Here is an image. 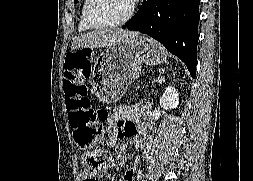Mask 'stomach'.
<instances>
[{
	"mask_svg": "<svg viewBox=\"0 0 253 181\" xmlns=\"http://www.w3.org/2000/svg\"><path fill=\"white\" fill-rule=\"evenodd\" d=\"M167 52L153 39L138 35L128 41H118L97 57L94 90L100 101H118L141 73L142 63L158 65L166 62Z\"/></svg>",
	"mask_w": 253,
	"mask_h": 181,
	"instance_id": "1",
	"label": "stomach"
}]
</instances>
